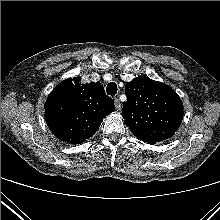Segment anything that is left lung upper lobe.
Listing matches in <instances>:
<instances>
[{
    "instance_id": "1",
    "label": "left lung upper lobe",
    "mask_w": 220,
    "mask_h": 220,
    "mask_svg": "<svg viewBox=\"0 0 220 220\" xmlns=\"http://www.w3.org/2000/svg\"><path fill=\"white\" fill-rule=\"evenodd\" d=\"M127 101L122 116L131 132L142 141L160 142L172 137L183 117L176 92L164 83L139 76L125 86Z\"/></svg>"
}]
</instances>
